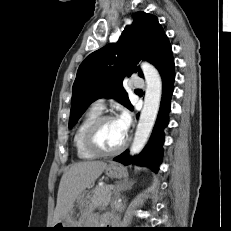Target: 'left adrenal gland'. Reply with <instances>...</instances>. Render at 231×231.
Returning a JSON list of instances; mask_svg holds the SVG:
<instances>
[{
    "label": "left adrenal gland",
    "mask_w": 231,
    "mask_h": 231,
    "mask_svg": "<svg viewBox=\"0 0 231 231\" xmlns=\"http://www.w3.org/2000/svg\"><path fill=\"white\" fill-rule=\"evenodd\" d=\"M134 183L133 180H125L122 184H117L114 190L115 195L119 196L120 192L130 190Z\"/></svg>",
    "instance_id": "obj_1"
}]
</instances>
